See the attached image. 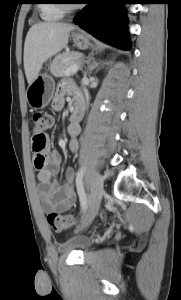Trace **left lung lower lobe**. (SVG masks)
<instances>
[{"instance_id":"left-lung-lower-lobe-1","label":"left lung lower lobe","mask_w":181,"mask_h":300,"mask_svg":"<svg viewBox=\"0 0 181 300\" xmlns=\"http://www.w3.org/2000/svg\"><path fill=\"white\" fill-rule=\"evenodd\" d=\"M126 0H87L74 22L94 37L124 50L130 49L126 16L119 6Z\"/></svg>"}]
</instances>
